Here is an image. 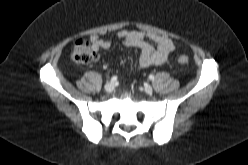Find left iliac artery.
<instances>
[{"label":"left iliac artery","mask_w":248,"mask_h":165,"mask_svg":"<svg viewBox=\"0 0 248 165\" xmlns=\"http://www.w3.org/2000/svg\"><path fill=\"white\" fill-rule=\"evenodd\" d=\"M149 79H150V80H154V75L150 74V75H149Z\"/></svg>","instance_id":"obj_1"}]
</instances>
